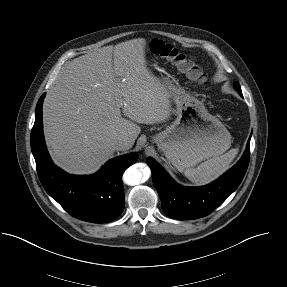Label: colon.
Returning <instances> with one entry per match:
<instances>
[{"instance_id":"obj_1","label":"colon","mask_w":287,"mask_h":287,"mask_svg":"<svg viewBox=\"0 0 287 287\" xmlns=\"http://www.w3.org/2000/svg\"><path fill=\"white\" fill-rule=\"evenodd\" d=\"M149 48L154 54L173 62L190 79L201 85H207L208 80L203 67L194 57L158 39L152 40L149 44Z\"/></svg>"}]
</instances>
